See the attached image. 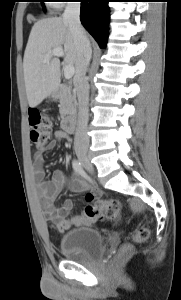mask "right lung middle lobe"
I'll return each instance as SVG.
<instances>
[{
	"mask_svg": "<svg viewBox=\"0 0 181 300\" xmlns=\"http://www.w3.org/2000/svg\"><path fill=\"white\" fill-rule=\"evenodd\" d=\"M40 1H41L42 6H43V9H44V11H45V7H44V5H43V0H40Z\"/></svg>",
	"mask_w": 181,
	"mask_h": 300,
	"instance_id": "obj_1",
	"label": "right lung middle lobe"
}]
</instances>
